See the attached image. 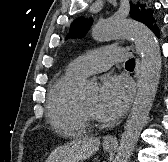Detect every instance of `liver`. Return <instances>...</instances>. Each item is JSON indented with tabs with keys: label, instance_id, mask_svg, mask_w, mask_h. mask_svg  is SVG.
Wrapping results in <instances>:
<instances>
[{
	"label": "liver",
	"instance_id": "1",
	"mask_svg": "<svg viewBox=\"0 0 168 162\" xmlns=\"http://www.w3.org/2000/svg\"><path fill=\"white\" fill-rule=\"evenodd\" d=\"M100 146L98 138H80L51 152L46 162H80L91 157Z\"/></svg>",
	"mask_w": 168,
	"mask_h": 162
}]
</instances>
